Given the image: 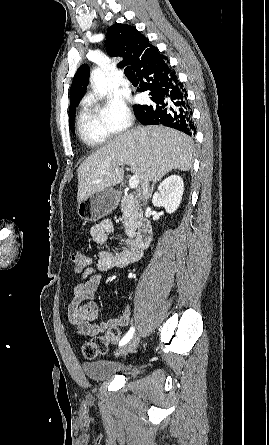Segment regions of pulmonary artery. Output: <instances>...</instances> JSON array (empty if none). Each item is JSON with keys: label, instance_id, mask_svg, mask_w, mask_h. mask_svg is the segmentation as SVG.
Wrapping results in <instances>:
<instances>
[{"label": "pulmonary artery", "instance_id": "pulmonary-artery-1", "mask_svg": "<svg viewBox=\"0 0 269 445\" xmlns=\"http://www.w3.org/2000/svg\"><path fill=\"white\" fill-rule=\"evenodd\" d=\"M119 84H120L122 87H128V86H130V81H129L127 78L121 76V77L119 78Z\"/></svg>", "mask_w": 269, "mask_h": 445}]
</instances>
